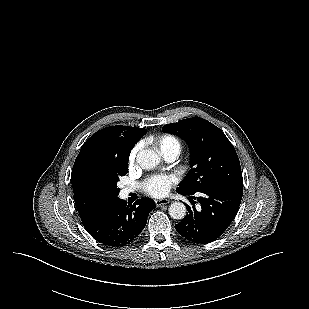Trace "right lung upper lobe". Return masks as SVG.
Masks as SVG:
<instances>
[{"mask_svg":"<svg viewBox=\"0 0 309 309\" xmlns=\"http://www.w3.org/2000/svg\"><path fill=\"white\" fill-rule=\"evenodd\" d=\"M147 132L130 126H110L93 134L82 146L71 174L74 199L80 216L110 200L106 194L102 167L111 158H129L135 144Z\"/></svg>","mask_w":309,"mask_h":309,"instance_id":"cb5924a9","label":"right lung upper lobe"}]
</instances>
